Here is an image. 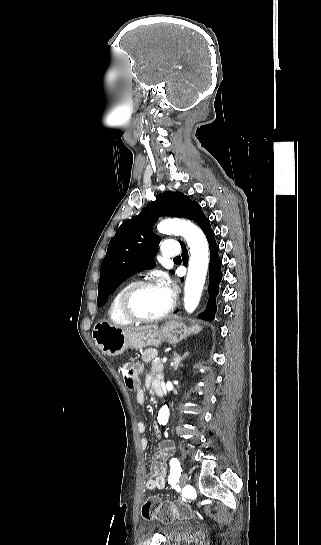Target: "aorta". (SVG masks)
Instances as JSON below:
<instances>
[{"instance_id": "aorta-1", "label": "aorta", "mask_w": 321, "mask_h": 545, "mask_svg": "<svg viewBox=\"0 0 321 545\" xmlns=\"http://www.w3.org/2000/svg\"><path fill=\"white\" fill-rule=\"evenodd\" d=\"M157 229L162 234L182 235L189 248L190 260L184 288V307L192 313L198 306L209 264V248L203 232L186 220L168 219L160 222ZM169 409L165 405L158 413L160 425H166Z\"/></svg>"}]
</instances>
